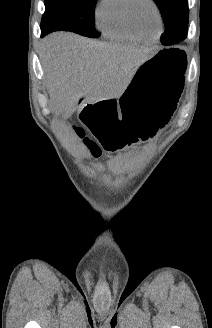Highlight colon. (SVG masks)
Instances as JSON below:
<instances>
[{
	"label": "colon",
	"mask_w": 212,
	"mask_h": 328,
	"mask_svg": "<svg viewBox=\"0 0 212 328\" xmlns=\"http://www.w3.org/2000/svg\"><path fill=\"white\" fill-rule=\"evenodd\" d=\"M90 129V128H88ZM74 130L76 134L83 140V143L88 148V150L91 152V154L94 157H98L101 153V147L98 145V140H94L90 137H87L85 135L84 129L80 126H75Z\"/></svg>",
	"instance_id": "obj_1"
}]
</instances>
